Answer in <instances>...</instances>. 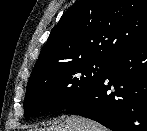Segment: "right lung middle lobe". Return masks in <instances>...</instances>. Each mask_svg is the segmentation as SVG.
Returning a JSON list of instances; mask_svg holds the SVG:
<instances>
[{
    "mask_svg": "<svg viewBox=\"0 0 147 131\" xmlns=\"http://www.w3.org/2000/svg\"><path fill=\"white\" fill-rule=\"evenodd\" d=\"M108 59L72 62L30 77L24 100V116L60 111L80 100L107 74Z\"/></svg>",
    "mask_w": 147,
    "mask_h": 131,
    "instance_id": "dd1d6c3e",
    "label": "right lung middle lobe"
}]
</instances>
